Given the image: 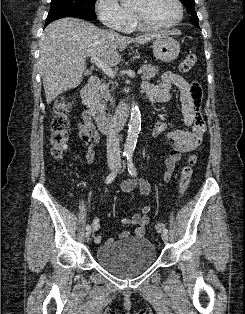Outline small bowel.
<instances>
[{
  "label": "small bowel",
  "instance_id": "c3829d8e",
  "mask_svg": "<svg viewBox=\"0 0 245 314\" xmlns=\"http://www.w3.org/2000/svg\"><path fill=\"white\" fill-rule=\"evenodd\" d=\"M176 86L180 91V100L182 104V115L185 129H174L168 131V125L164 121H159L152 129L151 136L158 138L161 135L169 144V154L165 160L164 182L167 183L175 170L176 163L181 159L185 152L196 148L202 141L206 133V125L201 114L202 89L197 82L189 83L181 75L175 72H166L159 84H143L146 97L153 103H166L171 98V88ZM78 135L86 149V161L92 164L95 160V144L99 140V135L94 126L93 120L85 112L82 115V121L78 124ZM136 188L139 189L143 198L150 194L151 186L143 179H128L121 184L123 192H131ZM151 206L144 205L140 213L133 214L130 218H123V224H132L135 226V237L142 238L145 236L146 227L150 222L149 213ZM101 224L98 218L92 221L93 231H98ZM130 233L123 231L119 238H127ZM95 243H100L102 237L96 236ZM109 238L106 242H113Z\"/></svg>",
  "mask_w": 245,
  "mask_h": 314
}]
</instances>
